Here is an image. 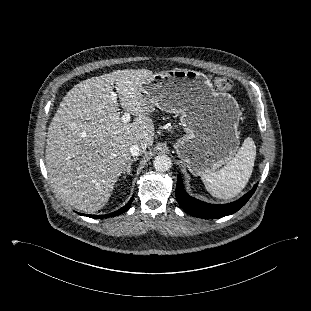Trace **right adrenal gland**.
Returning a JSON list of instances; mask_svg holds the SVG:
<instances>
[{"label":"right adrenal gland","instance_id":"right-adrenal-gland-1","mask_svg":"<svg viewBox=\"0 0 311 311\" xmlns=\"http://www.w3.org/2000/svg\"><path fill=\"white\" fill-rule=\"evenodd\" d=\"M137 160H138L137 157L130 160L129 164L127 165V167L123 171L124 175H130L131 174L132 163L134 161H137Z\"/></svg>","mask_w":311,"mask_h":311}]
</instances>
